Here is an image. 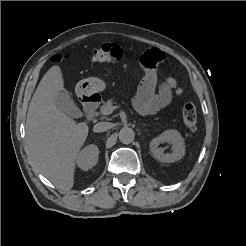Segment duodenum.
Here are the masks:
<instances>
[{
    "label": "duodenum",
    "mask_w": 246,
    "mask_h": 246,
    "mask_svg": "<svg viewBox=\"0 0 246 246\" xmlns=\"http://www.w3.org/2000/svg\"><path fill=\"white\" fill-rule=\"evenodd\" d=\"M99 99L98 94H89L82 97L84 113L88 120L93 118Z\"/></svg>",
    "instance_id": "obj_1"
}]
</instances>
